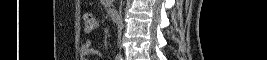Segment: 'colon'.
Instances as JSON below:
<instances>
[{
	"label": "colon",
	"instance_id": "obj_1",
	"mask_svg": "<svg viewBox=\"0 0 267 60\" xmlns=\"http://www.w3.org/2000/svg\"><path fill=\"white\" fill-rule=\"evenodd\" d=\"M99 19L91 14V13H85L83 15V30L86 33H90L95 31L99 27Z\"/></svg>",
	"mask_w": 267,
	"mask_h": 60
}]
</instances>
